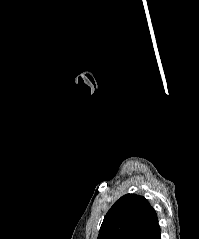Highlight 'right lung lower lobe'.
Listing matches in <instances>:
<instances>
[{
  "label": "right lung lower lobe",
  "instance_id": "1",
  "mask_svg": "<svg viewBox=\"0 0 199 239\" xmlns=\"http://www.w3.org/2000/svg\"><path fill=\"white\" fill-rule=\"evenodd\" d=\"M142 239H161L159 224H156Z\"/></svg>",
  "mask_w": 199,
  "mask_h": 239
}]
</instances>
